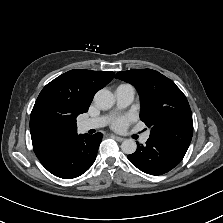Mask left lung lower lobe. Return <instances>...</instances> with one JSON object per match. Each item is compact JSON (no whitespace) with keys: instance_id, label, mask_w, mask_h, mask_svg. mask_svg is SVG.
<instances>
[{"instance_id":"0a47b994","label":"left lung lower lobe","mask_w":223,"mask_h":223,"mask_svg":"<svg viewBox=\"0 0 223 223\" xmlns=\"http://www.w3.org/2000/svg\"><path fill=\"white\" fill-rule=\"evenodd\" d=\"M186 151V148L150 137L146 146H138L135 153L128 155V159L147 174L161 175L177 166Z\"/></svg>"}]
</instances>
